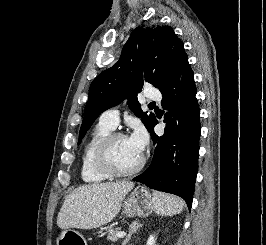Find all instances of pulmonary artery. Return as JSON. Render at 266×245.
<instances>
[{
    "instance_id": "pulmonary-artery-1",
    "label": "pulmonary artery",
    "mask_w": 266,
    "mask_h": 245,
    "mask_svg": "<svg viewBox=\"0 0 266 245\" xmlns=\"http://www.w3.org/2000/svg\"><path fill=\"white\" fill-rule=\"evenodd\" d=\"M147 90H150V87H147ZM148 101H159V91H149L148 92ZM119 121V111L116 109H109L103 112L99 117V122L107 124L111 127H115Z\"/></svg>"
}]
</instances>
